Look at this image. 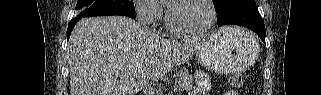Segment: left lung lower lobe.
Returning a JSON list of instances; mask_svg holds the SVG:
<instances>
[{
  "mask_svg": "<svg viewBox=\"0 0 321 95\" xmlns=\"http://www.w3.org/2000/svg\"><path fill=\"white\" fill-rule=\"evenodd\" d=\"M217 24L219 26L234 24L247 27L265 43V26L255 0H228L217 11Z\"/></svg>",
  "mask_w": 321,
  "mask_h": 95,
  "instance_id": "0a47b994",
  "label": "left lung lower lobe"
}]
</instances>
